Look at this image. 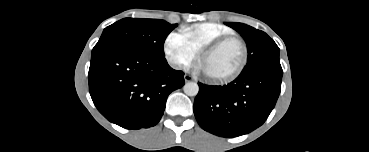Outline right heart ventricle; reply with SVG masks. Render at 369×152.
I'll list each match as a JSON object with an SVG mask.
<instances>
[{"label":"right heart ventricle","mask_w":369,"mask_h":152,"mask_svg":"<svg viewBox=\"0 0 369 152\" xmlns=\"http://www.w3.org/2000/svg\"><path fill=\"white\" fill-rule=\"evenodd\" d=\"M181 33L188 44L199 53L209 43L220 37L232 35L233 31L219 23L200 22L183 27Z\"/></svg>","instance_id":"e07e8e85"}]
</instances>
